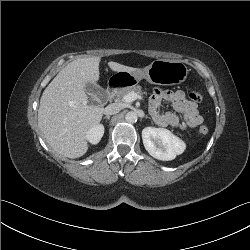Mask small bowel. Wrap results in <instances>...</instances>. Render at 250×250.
Instances as JSON below:
<instances>
[{
    "instance_id": "obj_1",
    "label": "small bowel",
    "mask_w": 250,
    "mask_h": 250,
    "mask_svg": "<svg viewBox=\"0 0 250 250\" xmlns=\"http://www.w3.org/2000/svg\"><path fill=\"white\" fill-rule=\"evenodd\" d=\"M164 101L170 103L174 111L161 112ZM150 113L157 124L180 130L196 128L203 122L196 104L188 101L180 90H155L150 99Z\"/></svg>"
}]
</instances>
